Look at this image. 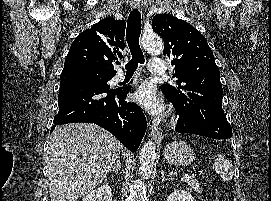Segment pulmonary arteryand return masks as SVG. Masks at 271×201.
Wrapping results in <instances>:
<instances>
[{
    "label": "pulmonary artery",
    "mask_w": 271,
    "mask_h": 201,
    "mask_svg": "<svg viewBox=\"0 0 271 201\" xmlns=\"http://www.w3.org/2000/svg\"><path fill=\"white\" fill-rule=\"evenodd\" d=\"M165 62L163 59L161 58H157V57H152L150 59V63H149V71L152 74L155 75H164L165 74ZM115 81L116 82H120L124 79V75L122 72H119L116 76H115Z\"/></svg>",
    "instance_id": "e3ab8cb5"
}]
</instances>
